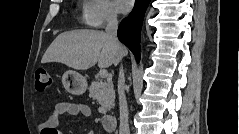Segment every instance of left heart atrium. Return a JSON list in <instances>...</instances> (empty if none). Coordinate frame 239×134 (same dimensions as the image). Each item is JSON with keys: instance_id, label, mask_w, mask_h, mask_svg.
<instances>
[{"instance_id": "39dd6f15", "label": "left heart atrium", "mask_w": 239, "mask_h": 134, "mask_svg": "<svg viewBox=\"0 0 239 134\" xmlns=\"http://www.w3.org/2000/svg\"><path fill=\"white\" fill-rule=\"evenodd\" d=\"M116 5L120 12L126 13L131 9L132 1L131 0H117Z\"/></svg>"}]
</instances>
